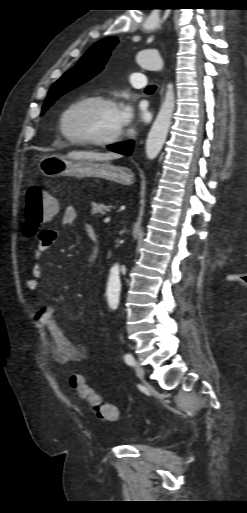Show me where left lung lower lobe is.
Here are the masks:
<instances>
[{
  "instance_id": "1",
  "label": "left lung lower lobe",
  "mask_w": 247,
  "mask_h": 513,
  "mask_svg": "<svg viewBox=\"0 0 247 513\" xmlns=\"http://www.w3.org/2000/svg\"><path fill=\"white\" fill-rule=\"evenodd\" d=\"M109 150L129 156L134 149V141H128L122 144L113 145L108 147Z\"/></svg>"
}]
</instances>
